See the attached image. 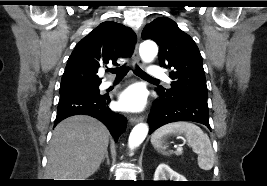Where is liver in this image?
Segmentation results:
<instances>
[{
  "mask_svg": "<svg viewBox=\"0 0 267 186\" xmlns=\"http://www.w3.org/2000/svg\"><path fill=\"white\" fill-rule=\"evenodd\" d=\"M109 143V131L98 120L76 115L54 129L47 152L45 177L85 180L99 168Z\"/></svg>",
  "mask_w": 267,
  "mask_h": 186,
  "instance_id": "6515ba94",
  "label": "liver"
}]
</instances>
